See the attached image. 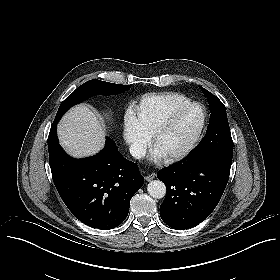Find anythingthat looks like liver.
Returning a JSON list of instances; mask_svg holds the SVG:
<instances>
[{"label":"liver","instance_id":"obj_1","mask_svg":"<svg viewBox=\"0 0 280 280\" xmlns=\"http://www.w3.org/2000/svg\"><path fill=\"white\" fill-rule=\"evenodd\" d=\"M57 133L63 149L74 158L93 156L105 144V124L86 104L67 111L58 123Z\"/></svg>","mask_w":280,"mask_h":280}]
</instances>
